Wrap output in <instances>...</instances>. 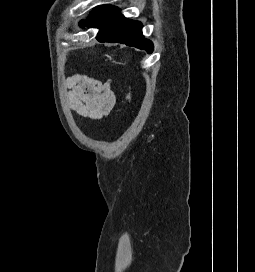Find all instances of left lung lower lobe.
Segmentation results:
<instances>
[{
  "mask_svg": "<svg viewBox=\"0 0 255 272\" xmlns=\"http://www.w3.org/2000/svg\"><path fill=\"white\" fill-rule=\"evenodd\" d=\"M80 26L99 28L96 37L99 42L126 44L148 53L153 50L152 42L142 35V24L125 18L119 8L112 5L95 7L86 20L80 21Z\"/></svg>",
  "mask_w": 255,
  "mask_h": 272,
  "instance_id": "1",
  "label": "left lung lower lobe"
}]
</instances>
